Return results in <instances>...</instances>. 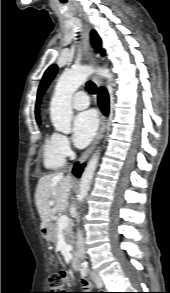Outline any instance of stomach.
I'll return each mask as SVG.
<instances>
[{
  "label": "stomach",
  "instance_id": "obj_1",
  "mask_svg": "<svg viewBox=\"0 0 170 293\" xmlns=\"http://www.w3.org/2000/svg\"><path fill=\"white\" fill-rule=\"evenodd\" d=\"M45 238H47V239H51V230H50V228H48V229L46 230Z\"/></svg>",
  "mask_w": 170,
  "mask_h": 293
}]
</instances>
